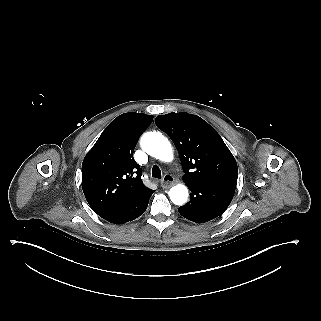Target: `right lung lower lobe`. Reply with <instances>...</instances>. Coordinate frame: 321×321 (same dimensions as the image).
Returning a JSON list of instances; mask_svg holds the SVG:
<instances>
[{
  "label": "right lung lower lobe",
  "mask_w": 321,
  "mask_h": 321,
  "mask_svg": "<svg viewBox=\"0 0 321 321\" xmlns=\"http://www.w3.org/2000/svg\"><path fill=\"white\" fill-rule=\"evenodd\" d=\"M154 192V190L150 189L135 201L121 208L103 213L99 216L113 224H123L128 221H132L145 212L149 203L150 196Z\"/></svg>",
  "instance_id": "98d812e1"
}]
</instances>
